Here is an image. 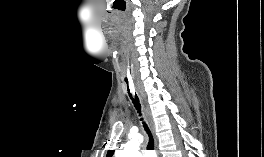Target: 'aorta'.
<instances>
[{
	"label": "aorta",
	"mask_w": 264,
	"mask_h": 157,
	"mask_svg": "<svg viewBox=\"0 0 264 157\" xmlns=\"http://www.w3.org/2000/svg\"><path fill=\"white\" fill-rule=\"evenodd\" d=\"M142 142V137L138 136L129 141L123 150L116 153V157H138L139 146Z\"/></svg>",
	"instance_id": "obj_1"
}]
</instances>
